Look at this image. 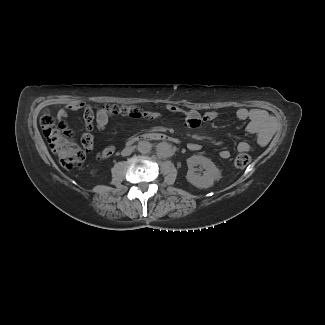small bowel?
<instances>
[{"label":"small bowel","instance_id":"1","mask_svg":"<svg viewBox=\"0 0 325 325\" xmlns=\"http://www.w3.org/2000/svg\"><path fill=\"white\" fill-rule=\"evenodd\" d=\"M84 110V120L86 132L82 136V144L84 148L88 151L94 150V137L92 131L96 128L102 131L106 128L110 113L100 109L93 114V111L89 105L84 102L71 103L66 107L60 109L56 114V124L59 133L67 134L68 138L73 139L76 136L75 130L72 129L69 124L65 122V117L69 112ZM166 110L171 113H179L185 116L184 125L189 129H197L203 124L213 122L221 117V114L216 111H208L204 114L196 110H185L177 105L168 104L166 105ZM148 117L150 119H157L158 114L155 112H149ZM236 116L240 120H248L247 130L250 133H256L258 135L259 144H265L268 136L272 130V122L270 117L266 112L261 109H247L239 108L236 111ZM188 148L192 151H197L201 148L200 144L197 142H191L188 144ZM237 150L239 152H248L251 150V145L248 142H240L237 145ZM115 152V147L113 145H107L97 152L96 156L100 160L107 159L111 157ZM231 156V152L227 149L220 151V157L222 159H228Z\"/></svg>","mask_w":325,"mask_h":325}]
</instances>
